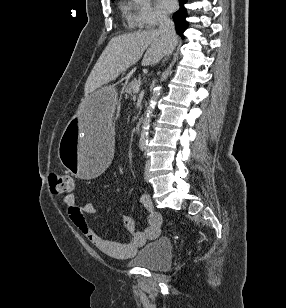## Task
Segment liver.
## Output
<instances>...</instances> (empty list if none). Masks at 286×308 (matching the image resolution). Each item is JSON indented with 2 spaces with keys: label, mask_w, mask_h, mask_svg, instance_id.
Listing matches in <instances>:
<instances>
[{
  "label": "liver",
  "mask_w": 286,
  "mask_h": 308,
  "mask_svg": "<svg viewBox=\"0 0 286 308\" xmlns=\"http://www.w3.org/2000/svg\"><path fill=\"white\" fill-rule=\"evenodd\" d=\"M169 46V41L153 29L113 37L85 83V98H89L97 89L115 80L136 64L143 54V66L157 64L166 55ZM84 113L85 117L92 121V111Z\"/></svg>",
  "instance_id": "6515ba94"
}]
</instances>
